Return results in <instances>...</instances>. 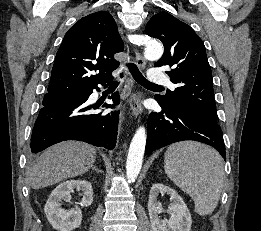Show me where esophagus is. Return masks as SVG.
<instances>
[{"mask_svg": "<svg viewBox=\"0 0 261 231\" xmlns=\"http://www.w3.org/2000/svg\"><path fill=\"white\" fill-rule=\"evenodd\" d=\"M130 41L131 43L136 44L138 41V35L136 34L131 35ZM135 62L136 65L141 68L145 66V59L142 57V55L137 49H135ZM129 104H130L131 111L135 117H138L139 115L142 114L143 107L138 93L136 92L131 93L129 98Z\"/></svg>", "mask_w": 261, "mask_h": 231, "instance_id": "34e87169", "label": "esophagus"}]
</instances>
